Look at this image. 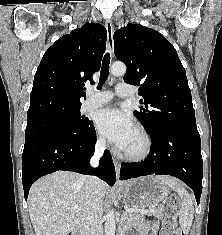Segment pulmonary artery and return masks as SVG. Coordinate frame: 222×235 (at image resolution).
Segmentation results:
<instances>
[{
	"label": "pulmonary artery",
	"mask_w": 222,
	"mask_h": 235,
	"mask_svg": "<svg viewBox=\"0 0 222 235\" xmlns=\"http://www.w3.org/2000/svg\"><path fill=\"white\" fill-rule=\"evenodd\" d=\"M115 94L120 97H131L134 95V91L126 84H118L115 93L108 90L101 92L90 90L88 92L87 99L83 103L82 110L87 111L106 104L114 97Z\"/></svg>",
	"instance_id": "obj_1"
}]
</instances>
